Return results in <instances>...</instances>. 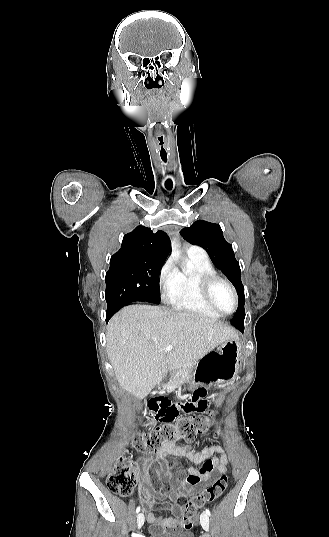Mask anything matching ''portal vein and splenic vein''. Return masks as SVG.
I'll use <instances>...</instances> for the list:
<instances>
[{
    "instance_id": "18ae733b",
    "label": "portal vein and splenic vein",
    "mask_w": 329,
    "mask_h": 537,
    "mask_svg": "<svg viewBox=\"0 0 329 537\" xmlns=\"http://www.w3.org/2000/svg\"><path fill=\"white\" fill-rule=\"evenodd\" d=\"M172 348H173V346H172V345H168V346L166 347V349H165V352H168V351H170V350H171Z\"/></svg>"
}]
</instances>
